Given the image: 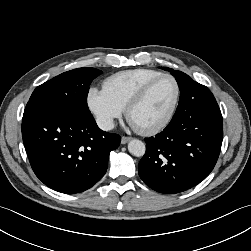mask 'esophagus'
Listing matches in <instances>:
<instances>
[{
    "instance_id": "esophagus-1",
    "label": "esophagus",
    "mask_w": 251,
    "mask_h": 251,
    "mask_svg": "<svg viewBox=\"0 0 251 251\" xmlns=\"http://www.w3.org/2000/svg\"><path fill=\"white\" fill-rule=\"evenodd\" d=\"M131 139H132L131 137L123 136V137L121 138V143H122V144H126V143H128Z\"/></svg>"
}]
</instances>
